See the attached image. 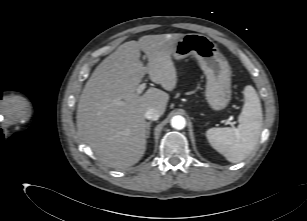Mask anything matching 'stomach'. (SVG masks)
Wrapping results in <instances>:
<instances>
[{"mask_svg":"<svg viewBox=\"0 0 307 221\" xmlns=\"http://www.w3.org/2000/svg\"><path fill=\"white\" fill-rule=\"evenodd\" d=\"M194 55L206 76V100L214 111L231 100V68L213 41L202 34H184L173 47L172 56L180 60Z\"/></svg>","mask_w":307,"mask_h":221,"instance_id":"1","label":"stomach"}]
</instances>
